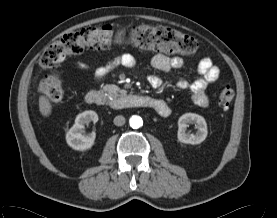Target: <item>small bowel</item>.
I'll return each mask as SVG.
<instances>
[{
  "label": "small bowel",
  "instance_id": "1",
  "mask_svg": "<svg viewBox=\"0 0 277 218\" xmlns=\"http://www.w3.org/2000/svg\"><path fill=\"white\" fill-rule=\"evenodd\" d=\"M136 59L130 53H125L114 61L97 67L92 71L93 78L95 80H101L107 76L110 71L118 65H122L131 68L135 65ZM152 66L155 69L162 71H169L171 69H179L184 65V60L180 56H166L163 54H156L151 61ZM75 68L89 72L90 67L83 62H77ZM197 70L200 77L193 82L180 78L176 81V87L179 90L190 91L194 104L199 107H206L209 99L207 95V87L217 81L220 77V69L213 64L212 60L208 57L202 58L197 66ZM148 83L152 88H159L162 85V80L158 76L151 75L148 77ZM162 101V100H161ZM162 106L158 109V113L165 115L168 113L169 106L162 101Z\"/></svg>",
  "mask_w": 277,
  "mask_h": 218
}]
</instances>
